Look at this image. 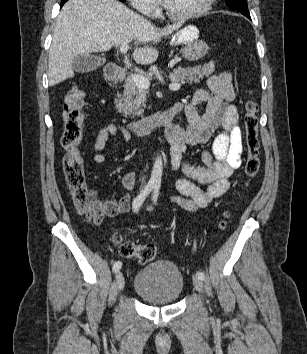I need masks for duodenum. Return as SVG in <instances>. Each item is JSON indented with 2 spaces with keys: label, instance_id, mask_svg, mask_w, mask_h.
<instances>
[{
  "label": "duodenum",
  "instance_id": "1",
  "mask_svg": "<svg viewBox=\"0 0 307 354\" xmlns=\"http://www.w3.org/2000/svg\"><path fill=\"white\" fill-rule=\"evenodd\" d=\"M125 71L120 66H113L107 72L108 80L113 84H118L123 81ZM175 116L174 108L157 112L154 115L145 117L139 120L132 121L127 124V129L137 135H144L152 130L168 125Z\"/></svg>",
  "mask_w": 307,
  "mask_h": 354
}]
</instances>
